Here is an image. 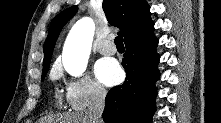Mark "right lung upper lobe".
I'll return each instance as SVG.
<instances>
[{
    "mask_svg": "<svg viewBox=\"0 0 221 123\" xmlns=\"http://www.w3.org/2000/svg\"><path fill=\"white\" fill-rule=\"evenodd\" d=\"M102 7L109 24L120 29L119 34L124 37L125 43L140 39L154 30L150 7L145 0H103ZM77 10V6H72L52 20L43 48L44 66L50 64L60 31Z\"/></svg>",
    "mask_w": 221,
    "mask_h": 123,
    "instance_id": "1",
    "label": "right lung upper lobe"
}]
</instances>
